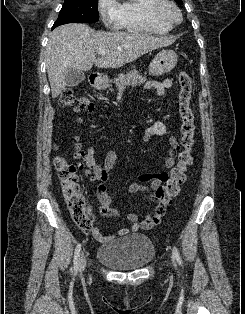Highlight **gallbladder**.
I'll use <instances>...</instances> for the list:
<instances>
[{
	"label": "gallbladder",
	"mask_w": 245,
	"mask_h": 314,
	"mask_svg": "<svg viewBox=\"0 0 245 314\" xmlns=\"http://www.w3.org/2000/svg\"><path fill=\"white\" fill-rule=\"evenodd\" d=\"M85 79V73L81 70L69 69L65 81L69 87H75L82 83Z\"/></svg>",
	"instance_id": "obj_1"
}]
</instances>
